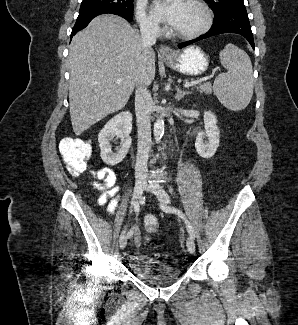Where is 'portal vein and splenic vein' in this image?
Wrapping results in <instances>:
<instances>
[{"label":"portal vein and splenic vein","instance_id":"1","mask_svg":"<svg viewBox=\"0 0 298 325\" xmlns=\"http://www.w3.org/2000/svg\"><path fill=\"white\" fill-rule=\"evenodd\" d=\"M208 78H212V76H203V78H199V80H192V82H185L183 86L187 88V86H193V84H198V82H203V80H208ZM123 78H117L116 82H122Z\"/></svg>","mask_w":298,"mask_h":325}]
</instances>
